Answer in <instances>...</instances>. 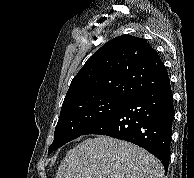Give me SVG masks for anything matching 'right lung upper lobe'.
Returning a JSON list of instances; mask_svg holds the SVG:
<instances>
[{"mask_svg": "<svg viewBox=\"0 0 194 178\" xmlns=\"http://www.w3.org/2000/svg\"><path fill=\"white\" fill-rule=\"evenodd\" d=\"M169 81L157 51L146 40L122 35L89 58L73 78L63 105L91 97L128 100Z\"/></svg>", "mask_w": 194, "mask_h": 178, "instance_id": "cb5924a9", "label": "right lung upper lobe"}]
</instances>
